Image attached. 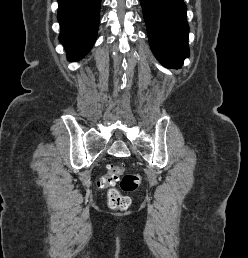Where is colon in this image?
<instances>
[{
    "label": "colon",
    "mask_w": 248,
    "mask_h": 258,
    "mask_svg": "<svg viewBox=\"0 0 248 258\" xmlns=\"http://www.w3.org/2000/svg\"><path fill=\"white\" fill-rule=\"evenodd\" d=\"M125 166L122 163H113L108 166L107 173L101 178L102 187H111L119 182L123 191H136L140 185L141 177L137 173H124ZM109 206L114 210H126L130 205L127 196L122 195L116 189H110L108 192Z\"/></svg>",
    "instance_id": "5ec220e1"
}]
</instances>
